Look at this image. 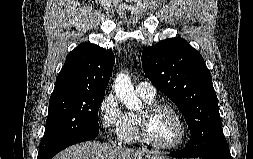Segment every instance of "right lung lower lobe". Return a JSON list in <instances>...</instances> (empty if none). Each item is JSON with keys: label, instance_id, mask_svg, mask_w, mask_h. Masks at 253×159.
<instances>
[{"label": "right lung lower lobe", "instance_id": "right-lung-lower-lobe-1", "mask_svg": "<svg viewBox=\"0 0 253 159\" xmlns=\"http://www.w3.org/2000/svg\"><path fill=\"white\" fill-rule=\"evenodd\" d=\"M97 135L98 133H83L77 136L70 137L68 139H65L59 142L54 147H52L46 154L42 156H38L37 159H51L54 155H56L58 152L65 149L66 147L79 143V142L92 140Z\"/></svg>", "mask_w": 253, "mask_h": 159}]
</instances>
